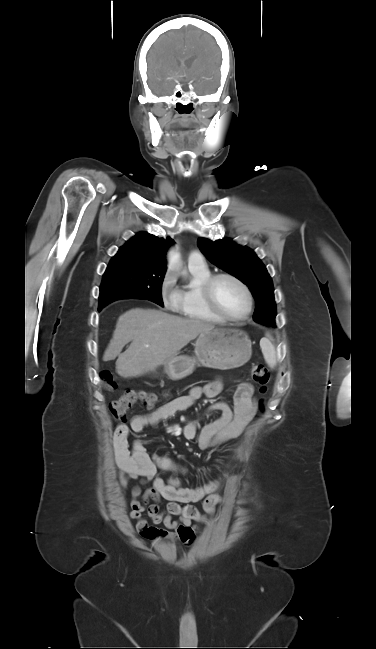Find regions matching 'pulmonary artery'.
<instances>
[{
	"instance_id": "obj_1",
	"label": "pulmonary artery",
	"mask_w": 376,
	"mask_h": 649,
	"mask_svg": "<svg viewBox=\"0 0 376 649\" xmlns=\"http://www.w3.org/2000/svg\"><path fill=\"white\" fill-rule=\"evenodd\" d=\"M188 262H189V264L202 265V264H205V259H204L203 255L199 251L194 250L189 254Z\"/></svg>"
}]
</instances>
